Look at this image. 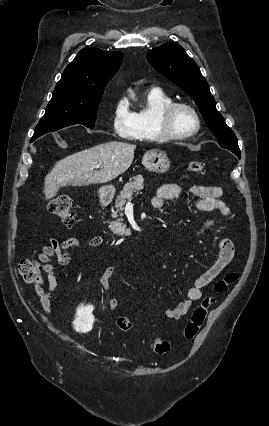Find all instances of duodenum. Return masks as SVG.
<instances>
[{"mask_svg":"<svg viewBox=\"0 0 269 426\" xmlns=\"http://www.w3.org/2000/svg\"><path fill=\"white\" fill-rule=\"evenodd\" d=\"M97 200H98V204L103 206L110 202L111 197L106 191H100L98 194Z\"/></svg>","mask_w":269,"mask_h":426,"instance_id":"duodenum-1","label":"duodenum"}]
</instances>
